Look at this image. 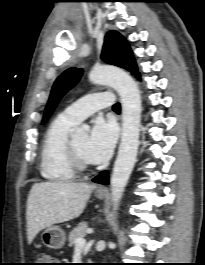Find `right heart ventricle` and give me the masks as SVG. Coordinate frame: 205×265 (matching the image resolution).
Instances as JSON below:
<instances>
[{"label":"right heart ventricle","instance_id":"e07e8e85","mask_svg":"<svg viewBox=\"0 0 205 265\" xmlns=\"http://www.w3.org/2000/svg\"><path fill=\"white\" fill-rule=\"evenodd\" d=\"M77 123L63 114L49 125L41 148V175L52 182H68L74 179L75 171L70 163L69 132Z\"/></svg>","mask_w":205,"mask_h":265}]
</instances>
